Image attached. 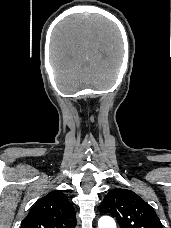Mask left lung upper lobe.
Wrapping results in <instances>:
<instances>
[{
	"instance_id": "5c2ea615",
	"label": "left lung upper lobe",
	"mask_w": 171,
	"mask_h": 228,
	"mask_svg": "<svg viewBox=\"0 0 171 228\" xmlns=\"http://www.w3.org/2000/svg\"><path fill=\"white\" fill-rule=\"evenodd\" d=\"M100 210L113 215L122 228H163L153 208L131 190H111Z\"/></svg>"
}]
</instances>
